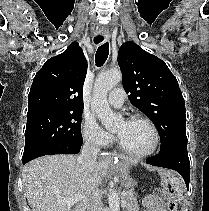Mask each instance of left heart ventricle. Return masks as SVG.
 I'll list each match as a JSON object with an SVG mask.
<instances>
[{"label": "left heart ventricle", "instance_id": "obj_1", "mask_svg": "<svg viewBox=\"0 0 209 211\" xmlns=\"http://www.w3.org/2000/svg\"><path fill=\"white\" fill-rule=\"evenodd\" d=\"M120 143L132 152L148 150L153 142L151 129L143 122L121 121L114 129Z\"/></svg>", "mask_w": 209, "mask_h": 211}]
</instances>
